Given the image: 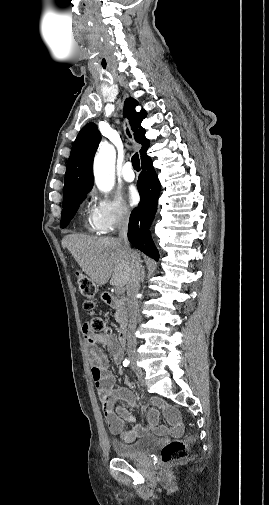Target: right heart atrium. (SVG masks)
<instances>
[{"mask_svg":"<svg viewBox=\"0 0 269 505\" xmlns=\"http://www.w3.org/2000/svg\"><path fill=\"white\" fill-rule=\"evenodd\" d=\"M130 215V209L120 198L94 196L92 218L98 231L110 233L127 222Z\"/></svg>","mask_w":269,"mask_h":505,"instance_id":"d8ad5b80","label":"right heart atrium"}]
</instances>
